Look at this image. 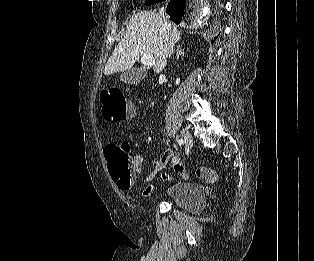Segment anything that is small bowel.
<instances>
[{
	"label": "small bowel",
	"mask_w": 314,
	"mask_h": 261,
	"mask_svg": "<svg viewBox=\"0 0 314 261\" xmlns=\"http://www.w3.org/2000/svg\"><path fill=\"white\" fill-rule=\"evenodd\" d=\"M132 113H134L133 107H132ZM132 162H133L135 173L137 175H139L142 171L143 157L140 154H136L132 157ZM168 162H172L173 170L175 173H178V174L184 173V168H183V165L181 163L179 156L176 153H174L173 151L167 150L162 157L152 159L153 169L145 177V179H144L145 182L150 183L156 177L158 172H160L161 170H163L166 167ZM171 178H172V175L169 172H163L160 175V179L163 181H169V180H171ZM154 188H155V184H153V183L148 184L142 190L141 195L143 197L149 196L154 191Z\"/></svg>",
	"instance_id": "small-bowel-1"
}]
</instances>
